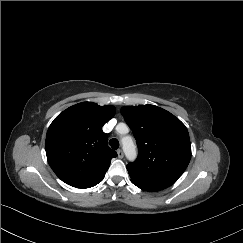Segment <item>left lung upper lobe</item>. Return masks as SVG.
I'll return each instance as SVG.
<instances>
[{"mask_svg":"<svg viewBox=\"0 0 243 243\" xmlns=\"http://www.w3.org/2000/svg\"><path fill=\"white\" fill-rule=\"evenodd\" d=\"M121 113L134 134L139 151L137 159L127 165L131 180L180 177L191 158L185 125L155 105L125 106Z\"/></svg>","mask_w":243,"mask_h":243,"instance_id":"5c2ea615","label":"left lung upper lobe"}]
</instances>
